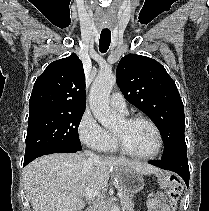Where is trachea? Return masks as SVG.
I'll return each mask as SVG.
<instances>
[{"label": "trachea", "instance_id": "1", "mask_svg": "<svg viewBox=\"0 0 209 211\" xmlns=\"http://www.w3.org/2000/svg\"><path fill=\"white\" fill-rule=\"evenodd\" d=\"M110 42H111V32L102 31L99 40V51L101 53H105L109 49Z\"/></svg>", "mask_w": 209, "mask_h": 211}]
</instances>
